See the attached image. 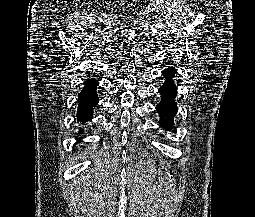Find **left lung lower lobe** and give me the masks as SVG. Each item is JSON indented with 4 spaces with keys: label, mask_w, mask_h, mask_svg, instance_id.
<instances>
[{
    "label": "left lung lower lobe",
    "mask_w": 255,
    "mask_h": 217,
    "mask_svg": "<svg viewBox=\"0 0 255 217\" xmlns=\"http://www.w3.org/2000/svg\"><path fill=\"white\" fill-rule=\"evenodd\" d=\"M177 73L174 67L168 66L162 71L165 77V82L162 87L159 88V93L161 94V101L156 106V110L160 115V125L165 130H171L173 128V117L176 115L178 109L176 102L174 100L177 95V87L174 83V76Z\"/></svg>",
    "instance_id": "left-lung-lower-lobe-1"
}]
</instances>
